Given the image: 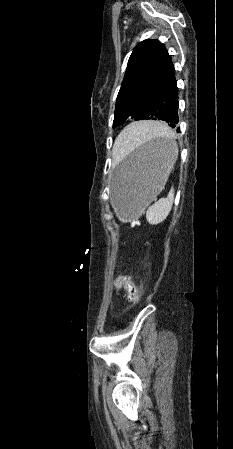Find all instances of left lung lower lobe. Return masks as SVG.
<instances>
[{"mask_svg": "<svg viewBox=\"0 0 233 449\" xmlns=\"http://www.w3.org/2000/svg\"><path fill=\"white\" fill-rule=\"evenodd\" d=\"M178 107V88L174 74L151 102L146 120L166 121L169 126L175 128L178 124ZM177 132H180V128H177Z\"/></svg>", "mask_w": 233, "mask_h": 449, "instance_id": "left-lung-lower-lobe-1", "label": "left lung lower lobe"}]
</instances>
